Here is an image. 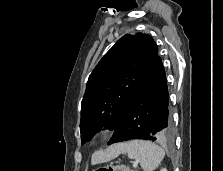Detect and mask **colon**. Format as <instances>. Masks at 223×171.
I'll use <instances>...</instances> for the list:
<instances>
[{
    "mask_svg": "<svg viewBox=\"0 0 223 171\" xmlns=\"http://www.w3.org/2000/svg\"><path fill=\"white\" fill-rule=\"evenodd\" d=\"M95 171H131V170L123 165H106L98 168Z\"/></svg>",
    "mask_w": 223,
    "mask_h": 171,
    "instance_id": "1",
    "label": "colon"
}]
</instances>
